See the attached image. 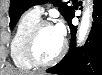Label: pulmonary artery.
I'll list each match as a JSON object with an SVG mask.
<instances>
[{
    "mask_svg": "<svg viewBox=\"0 0 102 75\" xmlns=\"http://www.w3.org/2000/svg\"><path fill=\"white\" fill-rule=\"evenodd\" d=\"M32 12H34L36 15L41 16L43 13V6L42 5H36L31 9Z\"/></svg>",
    "mask_w": 102,
    "mask_h": 75,
    "instance_id": "pulmonary-artery-1",
    "label": "pulmonary artery"
}]
</instances>
